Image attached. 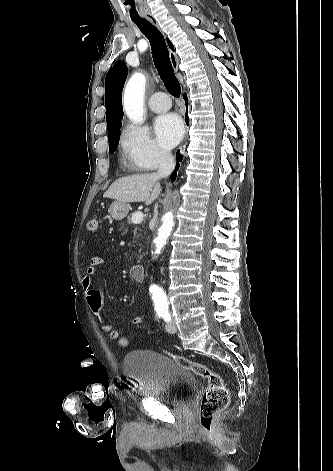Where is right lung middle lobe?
Returning <instances> with one entry per match:
<instances>
[{
  "label": "right lung middle lobe",
  "mask_w": 333,
  "mask_h": 471,
  "mask_svg": "<svg viewBox=\"0 0 333 471\" xmlns=\"http://www.w3.org/2000/svg\"><path fill=\"white\" fill-rule=\"evenodd\" d=\"M120 128L121 123L114 127L112 130L108 131L109 134V151L112 154L118 146V141L120 138Z\"/></svg>",
  "instance_id": "obj_1"
}]
</instances>
